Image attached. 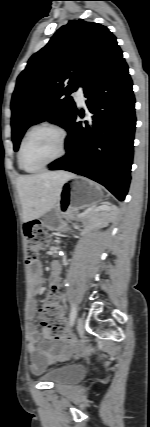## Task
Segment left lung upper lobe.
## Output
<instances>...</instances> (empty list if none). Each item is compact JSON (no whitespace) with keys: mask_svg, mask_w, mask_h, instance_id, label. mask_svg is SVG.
I'll list each match as a JSON object with an SVG mask.
<instances>
[{"mask_svg":"<svg viewBox=\"0 0 150 427\" xmlns=\"http://www.w3.org/2000/svg\"><path fill=\"white\" fill-rule=\"evenodd\" d=\"M117 47L116 37L107 27L77 19L62 26L29 59L11 101L15 151L31 125L48 120L65 126L76 108L69 94L84 86Z\"/></svg>","mask_w":150,"mask_h":427,"instance_id":"obj_1","label":"left lung upper lobe"}]
</instances>
